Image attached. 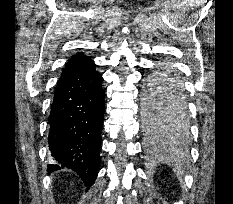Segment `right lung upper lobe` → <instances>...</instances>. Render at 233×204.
<instances>
[{"instance_id": "1", "label": "right lung upper lobe", "mask_w": 233, "mask_h": 204, "mask_svg": "<svg viewBox=\"0 0 233 204\" xmlns=\"http://www.w3.org/2000/svg\"><path fill=\"white\" fill-rule=\"evenodd\" d=\"M74 63H93L89 57L84 56L82 52H78L77 54L73 55L68 63L66 64L65 68L74 64Z\"/></svg>"}]
</instances>
